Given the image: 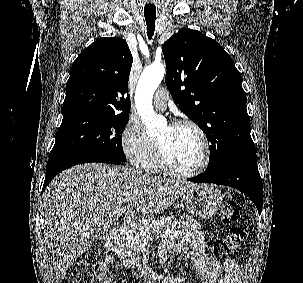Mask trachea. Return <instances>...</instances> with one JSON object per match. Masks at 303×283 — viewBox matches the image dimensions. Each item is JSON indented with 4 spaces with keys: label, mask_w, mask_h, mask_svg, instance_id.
<instances>
[{
    "label": "trachea",
    "mask_w": 303,
    "mask_h": 283,
    "mask_svg": "<svg viewBox=\"0 0 303 283\" xmlns=\"http://www.w3.org/2000/svg\"><path fill=\"white\" fill-rule=\"evenodd\" d=\"M145 16V21L147 24V35L149 40L152 39V36L154 34V30H155V16H149V15H144Z\"/></svg>",
    "instance_id": "1"
}]
</instances>
